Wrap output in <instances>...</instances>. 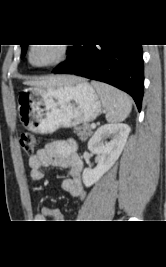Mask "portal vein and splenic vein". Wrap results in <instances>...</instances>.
Segmentation results:
<instances>
[{"instance_id": "obj_1", "label": "portal vein and splenic vein", "mask_w": 166, "mask_h": 267, "mask_svg": "<svg viewBox=\"0 0 166 267\" xmlns=\"http://www.w3.org/2000/svg\"><path fill=\"white\" fill-rule=\"evenodd\" d=\"M91 128H93V129L96 128V125L95 124H92L91 125Z\"/></svg>"}]
</instances>
